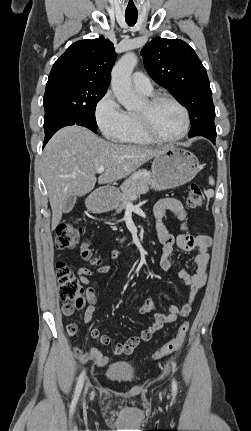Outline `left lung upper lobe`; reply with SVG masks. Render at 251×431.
Masks as SVG:
<instances>
[{
	"label": "left lung upper lobe",
	"instance_id": "1",
	"mask_svg": "<svg viewBox=\"0 0 251 431\" xmlns=\"http://www.w3.org/2000/svg\"><path fill=\"white\" fill-rule=\"evenodd\" d=\"M151 78L169 90L190 114L189 137L216 139L215 107L208 76L195 51L179 39L155 38L141 50Z\"/></svg>",
	"mask_w": 251,
	"mask_h": 431
}]
</instances>
